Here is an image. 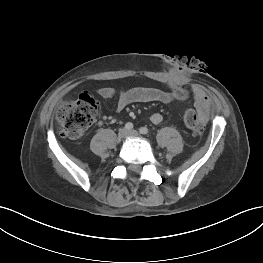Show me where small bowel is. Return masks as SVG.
Segmentation results:
<instances>
[{
    "label": "small bowel",
    "instance_id": "1",
    "mask_svg": "<svg viewBox=\"0 0 263 263\" xmlns=\"http://www.w3.org/2000/svg\"><path fill=\"white\" fill-rule=\"evenodd\" d=\"M175 88L176 86H172L171 91H165L154 87H135L122 90L118 98L117 111H122L128 105L133 103H170L177 99L174 92ZM192 92L195 108L201 119L206 121L210 113V99L199 85H193ZM98 94L103 99H110L115 95V90L111 87H102L98 90ZM150 121L153 124L158 125L162 123L163 116L160 113H153L150 116Z\"/></svg>",
    "mask_w": 263,
    "mask_h": 263
}]
</instances>
